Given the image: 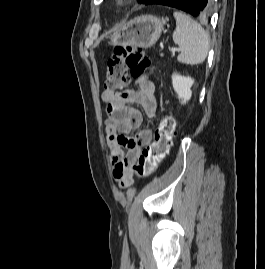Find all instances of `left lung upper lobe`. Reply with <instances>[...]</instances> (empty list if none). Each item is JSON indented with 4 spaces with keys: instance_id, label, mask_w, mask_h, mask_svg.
<instances>
[{
    "instance_id": "1",
    "label": "left lung upper lobe",
    "mask_w": 265,
    "mask_h": 269,
    "mask_svg": "<svg viewBox=\"0 0 265 269\" xmlns=\"http://www.w3.org/2000/svg\"><path fill=\"white\" fill-rule=\"evenodd\" d=\"M141 3H144L146 0H139Z\"/></svg>"
}]
</instances>
